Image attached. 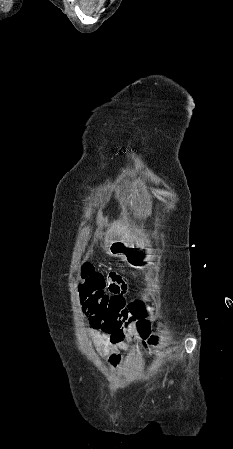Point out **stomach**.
Returning a JSON list of instances; mask_svg holds the SVG:
<instances>
[{
	"mask_svg": "<svg viewBox=\"0 0 233 449\" xmlns=\"http://www.w3.org/2000/svg\"><path fill=\"white\" fill-rule=\"evenodd\" d=\"M107 250L112 256L128 259L129 264L137 269L147 268L154 258L153 255L140 250L138 243L134 244L129 241H112L109 243Z\"/></svg>",
	"mask_w": 233,
	"mask_h": 449,
	"instance_id": "obj_1",
	"label": "stomach"
}]
</instances>
